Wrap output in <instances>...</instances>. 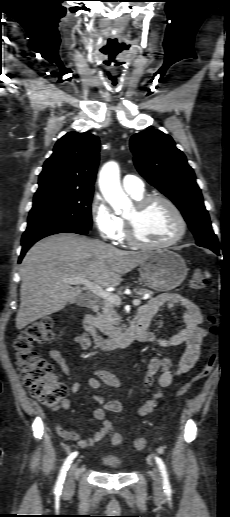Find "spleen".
I'll use <instances>...</instances> for the list:
<instances>
[{"label":"spleen","mask_w":230,"mask_h":517,"mask_svg":"<svg viewBox=\"0 0 230 517\" xmlns=\"http://www.w3.org/2000/svg\"><path fill=\"white\" fill-rule=\"evenodd\" d=\"M205 275H206V277H210V274L207 271L205 272Z\"/></svg>","instance_id":"obj_1"}]
</instances>
